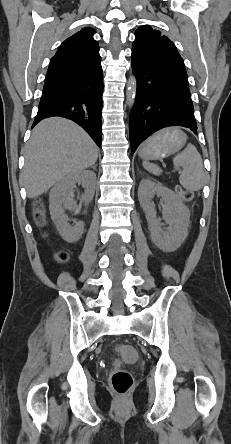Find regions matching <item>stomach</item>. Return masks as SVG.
Listing matches in <instances>:
<instances>
[{"instance_id":"1","label":"stomach","mask_w":231,"mask_h":444,"mask_svg":"<svg viewBox=\"0 0 231 444\" xmlns=\"http://www.w3.org/2000/svg\"><path fill=\"white\" fill-rule=\"evenodd\" d=\"M186 143V135L175 128L163 130L140 148L139 156L144 159H161L179 151Z\"/></svg>"}]
</instances>
